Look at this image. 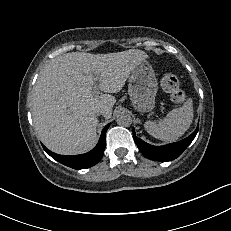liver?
I'll return each mask as SVG.
<instances>
[{
	"instance_id": "obj_1",
	"label": "liver",
	"mask_w": 231,
	"mask_h": 231,
	"mask_svg": "<svg viewBox=\"0 0 231 231\" xmlns=\"http://www.w3.org/2000/svg\"><path fill=\"white\" fill-rule=\"evenodd\" d=\"M147 59L144 51L117 53L70 52L52 59L34 86L31 112L37 136L51 151L75 155L91 150L97 142L96 111L109 119L118 93L132 70ZM97 76V80H96ZM98 82L105 94L96 96Z\"/></svg>"
}]
</instances>
